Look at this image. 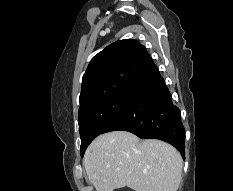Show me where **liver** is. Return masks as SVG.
Masks as SVG:
<instances>
[{
    "label": "liver",
    "mask_w": 233,
    "mask_h": 191,
    "mask_svg": "<svg viewBox=\"0 0 233 191\" xmlns=\"http://www.w3.org/2000/svg\"><path fill=\"white\" fill-rule=\"evenodd\" d=\"M83 164L96 191L129 187L135 191H177L183 160L170 144L140 139L127 131L99 135Z\"/></svg>",
    "instance_id": "obj_1"
}]
</instances>
